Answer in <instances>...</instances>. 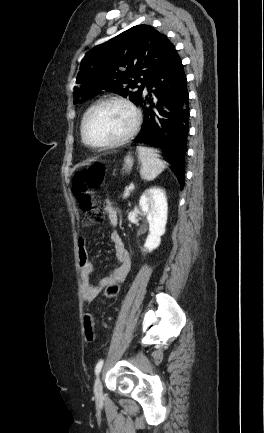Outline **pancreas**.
<instances>
[{"label": "pancreas", "mask_w": 264, "mask_h": 433, "mask_svg": "<svg viewBox=\"0 0 264 433\" xmlns=\"http://www.w3.org/2000/svg\"><path fill=\"white\" fill-rule=\"evenodd\" d=\"M130 194V193H129ZM129 194L128 195H126L125 194V192H124V194L121 196L122 197V199H126L128 196H129Z\"/></svg>", "instance_id": "cf45deb5"}]
</instances>
